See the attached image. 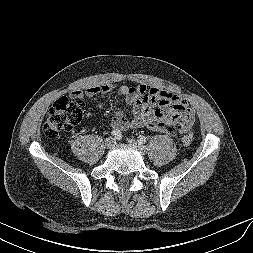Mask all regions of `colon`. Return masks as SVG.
<instances>
[{"label": "colon", "mask_w": 253, "mask_h": 253, "mask_svg": "<svg viewBox=\"0 0 253 253\" xmlns=\"http://www.w3.org/2000/svg\"><path fill=\"white\" fill-rule=\"evenodd\" d=\"M83 112L84 103L80 98H59L49 109L47 120L43 125L44 135L53 139L72 130L80 122ZM182 141L185 145L191 144L192 134H186Z\"/></svg>", "instance_id": "colon-1"}]
</instances>
